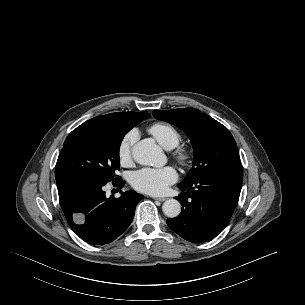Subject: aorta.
Instances as JSON below:
<instances>
[{
    "label": "aorta",
    "mask_w": 305,
    "mask_h": 305,
    "mask_svg": "<svg viewBox=\"0 0 305 305\" xmlns=\"http://www.w3.org/2000/svg\"><path fill=\"white\" fill-rule=\"evenodd\" d=\"M133 159L141 165L163 166L166 156L162 149L149 139H144L136 143L132 148ZM163 213L169 217H177L181 212V204L176 199H168L163 203Z\"/></svg>",
    "instance_id": "1"
}]
</instances>
